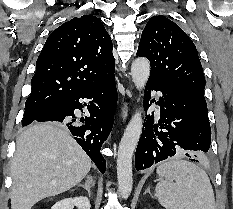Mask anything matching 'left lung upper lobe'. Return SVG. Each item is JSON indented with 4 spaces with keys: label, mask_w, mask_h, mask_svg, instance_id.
<instances>
[{
    "label": "left lung upper lobe",
    "mask_w": 233,
    "mask_h": 209,
    "mask_svg": "<svg viewBox=\"0 0 233 209\" xmlns=\"http://www.w3.org/2000/svg\"><path fill=\"white\" fill-rule=\"evenodd\" d=\"M137 56L150 61V76L185 90L206 105L205 78L197 49L177 24L164 16L150 18Z\"/></svg>",
    "instance_id": "5c2ea615"
}]
</instances>
